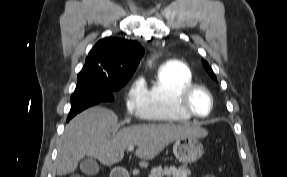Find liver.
Listing matches in <instances>:
<instances>
[{
	"label": "liver",
	"instance_id": "liver-1",
	"mask_svg": "<svg viewBox=\"0 0 287 177\" xmlns=\"http://www.w3.org/2000/svg\"><path fill=\"white\" fill-rule=\"evenodd\" d=\"M116 114L103 107H93L74 117L65 127L58 147L57 175L70 174L84 156L97 158L111 166L120 162L129 146H137L135 155L146 161L156 157L166 146L181 137L204 138L208 132L190 124H139L118 130Z\"/></svg>",
	"mask_w": 287,
	"mask_h": 177
}]
</instances>
